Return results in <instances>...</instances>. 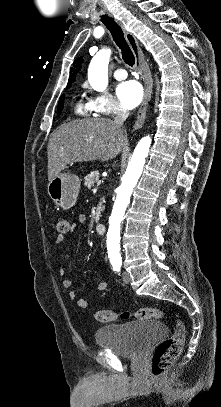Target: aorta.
<instances>
[{
  "mask_svg": "<svg viewBox=\"0 0 221 407\" xmlns=\"http://www.w3.org/2000/svg\"><path fill=\"white\" fill-rule=\"evenodd\" d=\"M110 55L111 51L109 49H103L93 57L89 65L88 81L91 87L97 91L105 90L108 85ZM150 145L151 138L149 136L139 141L123 175L122 183L117 190L116 200L109 217V229L107 232V250L111 262L121 261L120 226L133 189L141 176Z\"/></svg>",
  "mask_w": 221,
  "mask_h": 407,
  "instance_id": "762f6f07",
  "label": "aorta"
}]
</instances>
